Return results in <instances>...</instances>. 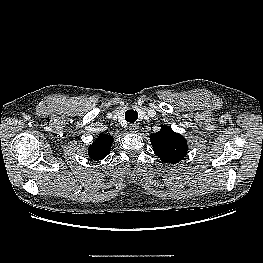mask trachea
<instances>
[{
  "instance_id": "1",
  "label": "trachea",
  "mask_w": 263,
  "mask_h": 263,
  "mask_svg": "<svg viewBox=\"0 0 263 263\" xmlns=\"http://www.w3.org/2000/svg\"><path fill=\"white\" fill-rule=\"evenodd\" d=\"M138 119V113L136 110H127L125 113V120L129 123H134Z\"/></svg>"
}]
</instances>
